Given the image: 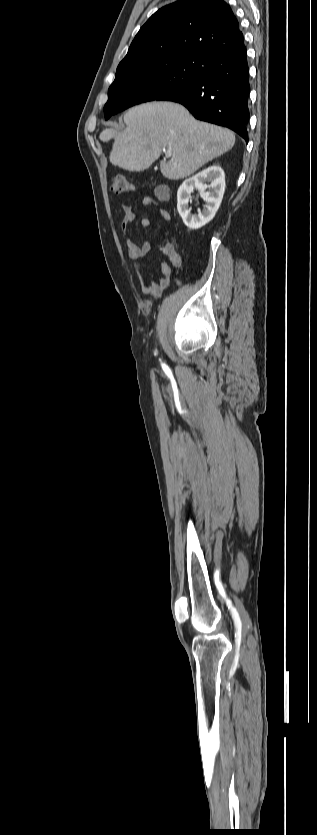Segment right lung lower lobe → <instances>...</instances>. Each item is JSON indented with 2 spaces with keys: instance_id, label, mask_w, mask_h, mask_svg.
Returning a JSON list of instances; mask_svg holds the SVG:
<instances>
[{
  "instance_id": "98d812e1",
  "label": "right lung lower lobe",
  "mask_w": 317,
  "mask_h": 835,
  "mask_svg": "<svg viewBox=\"0 0 317 835\" xmlns=\"http://www.w3.org/2000/svg\"><path fill=\"white\" fill-rule=\"evenodd\" d=\"M200 78L186 83L157 100L184 105L202 121L228 127L248 143L249 68L243 35L199 54Z\"/></svg>"
}]
</instances>
